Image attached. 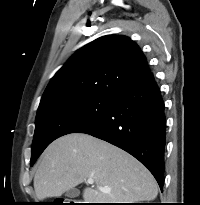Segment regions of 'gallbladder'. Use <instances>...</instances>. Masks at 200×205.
Here are the masks:
<instances>
[{
    "label": "gallbladder",
    "instance_id": "obj_1",
    "mask_svg": "<svg viewBox=\"0 0 200 205\" xmlns=\"http://www.w3.org/2000/svg\"><path fill=\"white\" fill-rule=\"evenodd\" d=\"M79 194H80V192L76 188H71L65 192V196H67L69 198H75V197L79 196Z\"/></svg>",
    "mask_w": 200,
    "mask_h": 205
}]
</instances>
